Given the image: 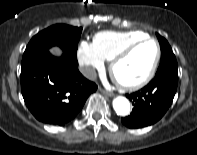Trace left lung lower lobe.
Here are the masks:
<instances>
[{
    "instance_id": "0a47b994",
    "label": "left lung lower lobe",
    "mask_w": 197,
    "mask_h": 155,
    "mask_svg": "<svg viewBox=\"0 0 197 155\" xmlns=\"http://www.w3.org/2000/svg\"><path fill=\"white\" fill-rule=\"evenodd\" d=\"M178 74L156 75L144 88L126 95L134 106L131 114L122 118L129 128H142L156 123L170 107L177 90Z\"/></svg>"
}]
</instances>
